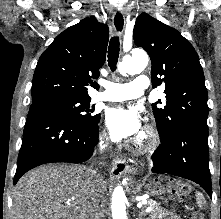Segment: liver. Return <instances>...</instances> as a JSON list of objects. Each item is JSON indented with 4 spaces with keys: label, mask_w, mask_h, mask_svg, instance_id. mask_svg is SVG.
Listing matches in <instances>:
<instances>
[{
    "label": "liver",
    "mask_w": 221,
    "mask_h": 219,
    "mask_svg": "<svg viewBox=\"0 0 221 219\" xmlns=\"http://www.w3.org/2000/svg\"><path fill=\"white\" fill-rule=\"evenodd\" d=\"M81 165L40 166L17 183L13 219H73L91 211L95 202L105 211L108 182Z\"/></svg>",
    "instance_id": "liver-1"
}]
</instances>
